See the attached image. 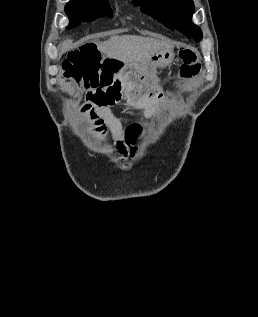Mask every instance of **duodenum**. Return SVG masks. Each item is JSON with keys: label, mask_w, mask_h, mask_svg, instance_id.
Masks as SVG:
<instances>
[{"label": "duodenum", "mask_w": 258, "mask_h": 317, "mask_svg": "<svg viewBox=\"0 0 258 317\" xmlns=\"http://www.w3.org/2000/svg\"><path fill=\"white\" fill-rule=\"evenodd\" d=\"M135 80L136 69L134 67H121L107 82L91 89L87 94V100L96 107L114 105L135 86Z\"/></svg>", "instance_id": "1"}]
</instances>
